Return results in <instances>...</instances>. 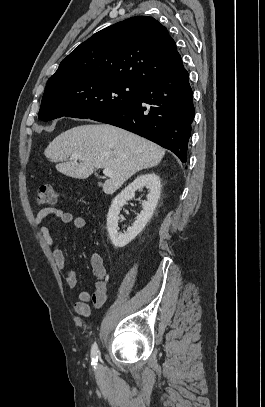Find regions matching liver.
<instances>
[{"mask_svg": "<svg viewBox=\"0 0 265 407\" xmlns=\"http://www.w3.org/2000/svg\"><path fill=\"white\" fill-rule=\"evenodd\" d=\"M44 154L54 162L78 155V159L56 165L60 173L76 179H86L98 168L110 169L112 176L103 184V191L113 194L138 171L158 165L165 149L109 124H89L61 133Z\"/></svg>", "mask_w": 265, "mask_h": 407, "instance_id": "6515ba94", "label": "liver"}]
</instances>
